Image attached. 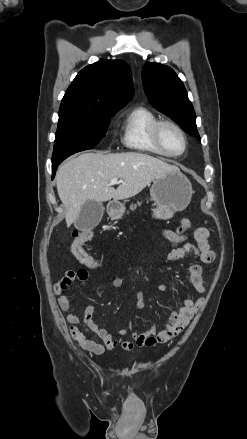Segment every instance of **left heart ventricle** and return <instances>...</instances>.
Instances as JSON below:
<instances>
[{
  "instance_id": "1",
  "label": "left heart ventricle",
  "mask_w": 247,
  "mask_h": 439,
  "mask_svg": "<svg viewBox=\"0 0 247 439\" xmlns=\"http://www.w3.org/2000/svg\"><path fill=\"white\" fill-rule=\"evenodd\" d=\"M161 139L168 152L176 154L182 151L183 140L175 129L169 126L164 127L161 132Z\"/></svg>"
}]
</instances>
